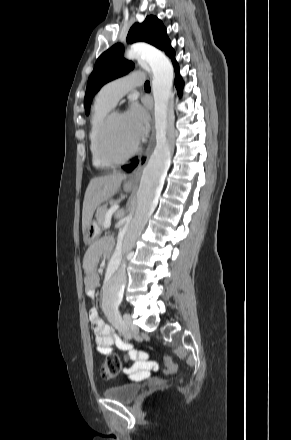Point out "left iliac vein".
Instances as JSON below:
<instances>
[{"label": "left iliac vein", "instance_id": "obj_1", "mask_svg": "<svg viewBox=\"0 0 291 440\" xmlns=\"http://www.w3.org/2000/svg\"><path fill=\"white\" fill-rule=\"evenodd\" d=\"M123 320H124L126 327L128 328V331L124 332V336L126 338L130 339L133 335L139 333V328L137 327V325H135L133 323V320H132V317L130 314H124Z\"/></svg>", "mask_w": 291, "mask_h": 440}]
</instances>
